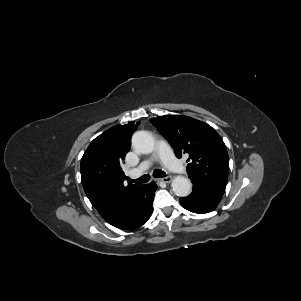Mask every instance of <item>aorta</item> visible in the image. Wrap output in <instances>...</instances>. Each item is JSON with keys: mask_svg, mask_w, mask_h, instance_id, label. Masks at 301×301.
<instances>
[{"mask_svg": "<svg viewBox=\"0 0 301 301\" xmlns=\"http://www.w3.org/2000/svg\"><path fill=\"white\" fill-rule=\"evenodd\" d=\"M133 148L142 154H150L155 148V140L147 131H137L132 136ZM173 192L180 197H186L191 193V183L184 176H176L171 183Z\"/></svg>", "mask_w": 301, "mask_h": 301, "instance_id": "obj_1", "label": "aorta"}]
</instances>
